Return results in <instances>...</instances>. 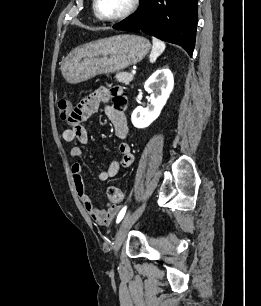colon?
<instances>
[{"instance_id": "5ec220e1", "label": "colon", "mask_w": 261, "mask_h": 306, "mask_svg": "<svg viewBox=\"0 0 261 306\" xmlns=\"http://www.w3.org/2000/svg\"><path fill=\"white\" fill-rule=\"evenodd\" d=\"M72 110V104L69 98L62 97L58 101V111H59V117L62 120H66L69 118ZM108 197L109 199L114 203H120L123 199V193L119 188L116 187H110L108 189Z\"/></svg>"}]
</instances>
